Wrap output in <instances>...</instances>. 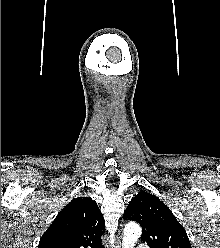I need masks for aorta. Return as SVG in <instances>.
Returning <instances> with one entry per match:
<instances>
[{
  "label": "aorta",
  "instance_id": "obj_1",
  "mask_svg": "<svg viewBox=\"0 0 220 248\" xmlns=\"http://www.w3.org/2000/svg\"><path fill=\"white\" fill-rule=\"evenodd\" d=\"M141 232V227L137 223H128L123 232L122 248H134Z\"/></svg>",
  "mask_w": 220,
  "mask_h": 248
}]
</instances>
